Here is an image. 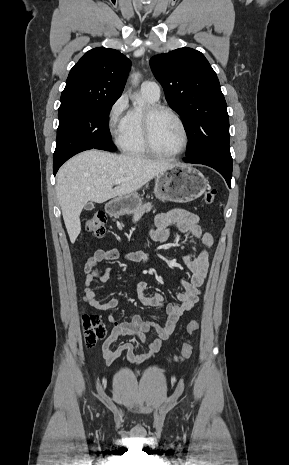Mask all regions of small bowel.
Masks as SVG:
<instances>
[{"mask_svg": "<svg viewBox=\"0 0 289 465\" xmlns=\"http://www.w3.org/2000/svg\"><path fill=\"white\" fill-rule=\"evenodd\" d=\"M198 215L182 210L174 209L160 213L155 219V226L151 230V237L154 241L164 245L174 234H189L200 243L196 249L191 246L190 251L183 257L185 265L191 270L192 276L189 279L179 280L182 288L177 293V303L169 302L164 304V298L160 293L147 292L148 284L140 281L136 284L137 297L139 301L147 307H164L166 318L163 323L157 321H144L139 316H132L128 321L122 320L113 314H108L107 320L113 325L112 331L102 346V355L107 364H112L123 352H126L127 361L131 364H141L153 357L161 348L162 343L168 339L175 329L180 316L193 309L202 293L208 273L209 249L213 244V238L208 232H204L199 224ZM171 225V226H170ZM124 258L127 261L149 263L151 258L142 251H123L117 247L108 250H97L88 258L85 267V287L83 299L93 308L100 311H109L115 308L119 300L113 298L105 303H101L91 287L94 280L101 283L107 282L111 275V270L100 273L96 267L105 261ZM153 330L157 333V338L150 343L146 342L145 333ZM121 336H136L145 345V351L136 353L131 343H123L116 349L112 345Z\"/></svg>", "mask_w": 289, "mask_h": 465, "instance_id": "obj_1", "label": "small bowel"}]
</instances>
